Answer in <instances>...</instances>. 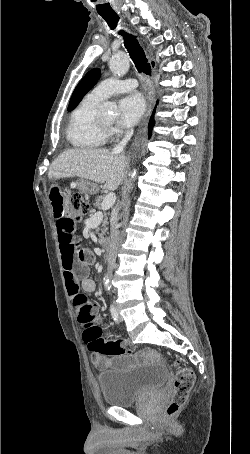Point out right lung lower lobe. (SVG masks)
I'll return each mask as SVG.
<instances>
[{
	"mask_svg": "<svg viewBox=\"0 0 250 454\" xmlns=\"http://www.w3.org/2000/svg\"><path fill=\"white\" fill-rule=\"evenodd\" d=\"M155 111H156V109L153 110L152 116H151L150 121H149V124H148V125H149V126H148V137H149V138H150L151 135H152V129H153L154 125H155V121H154V114H155Z\"/></svg>",
	"mask_w": 250,
	"mask_h": 454,
	"instance_id": "obj_1",
	"label": "right lung lower lobe"
}]
</instances>
